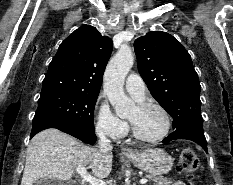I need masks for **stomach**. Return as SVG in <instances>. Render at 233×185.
Wrapping results in <instances>:
<instances>
[{"label": "stomach", "instance_id": "obj_1", "mask_svg": "<svg viewBox=\"0 0 233 185\" xmlns=\"http://www.w3.org/2000/svg\"><path fill=\"white\" fill-rule=\"evenodd\" d=\"M126 157L138 168L151 175L168 173L173 166L172 157L161 148H151L142 152H135Z\"/></svg>", "mask_w": 233, "mask_h": 185}]
</instances>
